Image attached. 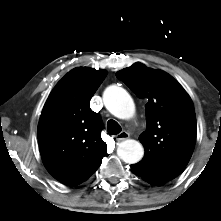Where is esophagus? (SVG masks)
Instances as JSON below:
<instances>
[{
    "instance_id": "esophagus-1",
    "label": "esophagus",
    "mask_w": 221,
    "mask_h": 221,
    "mask_svg": "<svg viewBox=\"0 0 221 221\" xmlns=\"http://www.w3.org/2000/svg\"><path fill=\"white\" fill-rule=\"evenodd\" d=\"M129 137H130L129 133L126 131H123V132L116 135V140L123 141V140L128 139Z\"/></svg>"
}]
</instances>
